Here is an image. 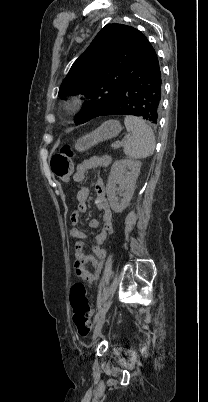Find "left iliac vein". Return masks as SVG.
Instances as JSON below:
<instances>
[{"label": "left iliac vein", "mask_w": 208, "mask_h": 402, "mask_svg": "<svg viewBox=\"0 0 208 402\" xmlns=\"http://www.w3.org/2000/svg\"><path fill=\"white\" fill-rule=\"evenodd\" d=\"M104 322H105V313L101 314V316L96 321L95 328H94V331H93V337H92L93 342L95 341L97 336L100 334Z\"/></svg>", "instance_id": "4c4485c4"}]
</instances>
